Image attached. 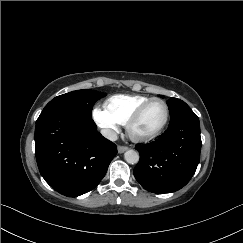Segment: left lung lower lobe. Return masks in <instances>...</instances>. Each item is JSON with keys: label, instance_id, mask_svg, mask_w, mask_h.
<instances>
[{"label": "left lung lower lobe", "instance_id": "obj_1", "mask_svg": "<svg viewBox=\"0 0 243 243\" xmlns=\"http://www.w3.org/2000/svg\"><path fill=\"white\" fill-rule=\"evenodd\" d=\"M140 160L134 176L152 193H170L184 187L194 175L200 160V123L194 114L169 127L157 140L137 147Z\"/></svg>", "mask_w": 243, "mask_h": 243}]
</instances>
